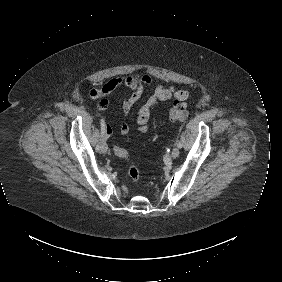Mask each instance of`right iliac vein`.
Segmentation results:
<instances>
[{
    "mask_svg": "<svg viewBox=\"0 0 282 282\" xmlns=\"http://www.w3.org/2000/svg\"><path fill=\"white\" fill-rule=\"evenodd\" d=\"M100 150L102 153H106L108 151V146L105 142H102L101 146H100Z\"/></svg>",
    "mask_w": 282,
    "mask_h": 282,
    "instance_id": "63e3f726",
    "label": "right iliac vein"
}]
</instances>
